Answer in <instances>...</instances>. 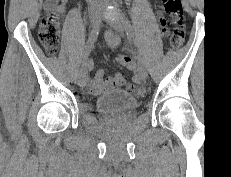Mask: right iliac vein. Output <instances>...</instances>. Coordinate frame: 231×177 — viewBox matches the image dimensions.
<instances>
[{
	"instance_id": "obj_1",
	"label": "right iliac vein",
	"mask_w": 231,
	"mask_h": 177,
	"mask_svg": "<svg viewBox=\"0 0 231 177\" xmlns=\"http://www.w3.org/2000/svg\"><path fill=\"white\" fill-rule=\"evenodd\" d=\"M90 22L93 27L99 24L100 21V10L95 8L90 11L89 14ZM88 79V72L86 66H82L79 75H78V85L85 86Z\"/></svg>"
}]
</instances>
